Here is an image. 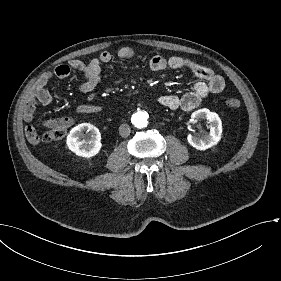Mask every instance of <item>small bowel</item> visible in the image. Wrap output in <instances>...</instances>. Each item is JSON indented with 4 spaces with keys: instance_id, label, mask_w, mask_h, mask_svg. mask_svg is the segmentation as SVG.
Listing matches in <instances>:
<instances>
[{
    "instance_id": "1",
    "label": "small bowel",
    "mask_w": 281,
    "mask_h": 281,
    "mask_svg": "<svg viewBox=\"0 0 281 281\" xmlns=\"http://www.w3.org/2000/svg\"><path fill=\"white\" fill-rule=\"evenodd\" d=\"M117 57L120 60L127 61L137 58L138 53L132 48L122 47L118 50ZM111 60L112 55L109 52H103L98 58L88 62L73 59L68 65H59L54 72H45L42 74L34 84L31 96L25 105L24 120L26 122L33 120L37 103L47 105L52 102L53 97L46 86L54 75L60 79H65L70 75L71 71L78 72L80 74L78 88L82 93L86 94L91 92L99 83L102 75V65L109 63ZM149 67L154 72H161L166 69H188L199 78L193 89L184 95L163 94L158 98V102L170 110L189 112L198 107L201 101L209 94L221 93L225 88V80L221 75L215 73L211 68L199 65L182 56L166 58L161 55H154L149 59ZM102 110L103 108L99 105L87 104L80 105L76 108V112L80 114H98ZM52 124H54L53 121L47 123V125ZM24 137L34 144L40 141L37 132L31 125L26 127Z\"/></svg>"
}]
</instances>
